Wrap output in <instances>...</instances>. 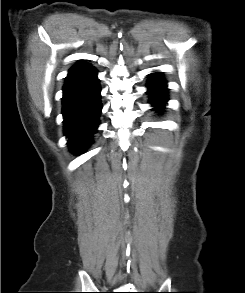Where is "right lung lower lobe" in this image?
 Masks as SVG:
<instances>
[{
	"label": "right lung lower lobe",
	"mask_w": 245,
	"mask_h": 293,
	"mask_svg": "<svg viewBox=\"0 0 245 293\" xmlns=\"http://www.w3.org/2000/svg\"><path fill=\"white\" fill-rule=\"evenodd\" d=\"M97 72L92 67L66 80L63 87L64 132L68 145L78 154L92 143L102 104Z\"/></svg>",
	"instance_id": "obj_1"
}]
</instances>
